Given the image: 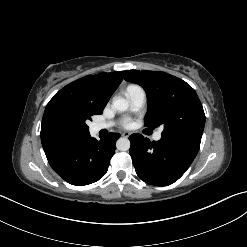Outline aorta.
<instances>
[{"label":"aorta","mask_w":247,"mask_h":247,"mask_svg":"<svg viewBox=\"0 0 247 247\" xmlns=\"http://www.w3.org/2000/svg\"><path fill=\"white\" fill-rule=\"evenodd\" d=\"M112 106L117 111H125L129 107V102L125 98H115ZM116 147L120 151H127L130 149V141L126 137H121L116 142Z\"/></svg>","instance_id":"aorta-1"}]
</instances>
